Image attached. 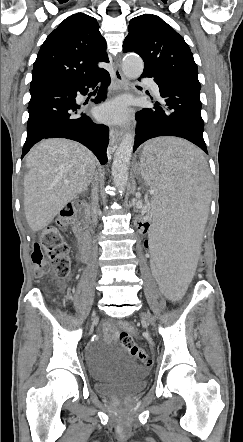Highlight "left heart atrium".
Masks as SVG:
<instances>
[{
  "instance_id": "39dd6f15",
  "label": "left heart atrium",
  "mask_w": 243,
  "mask_h": 442,
  "mask_svg": "<svg viewBox=\"0 0 243 442\" xmlns=\"http://www.w3.org/2000/svg\"><path fill=\"white\" fill-rule=\"evenodd\" d=\"M98 117L107 122L120 123L129 115L127 101L117 98L101 105L97 111Z\"/></svg>"
}]
</instances>
